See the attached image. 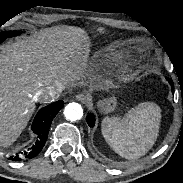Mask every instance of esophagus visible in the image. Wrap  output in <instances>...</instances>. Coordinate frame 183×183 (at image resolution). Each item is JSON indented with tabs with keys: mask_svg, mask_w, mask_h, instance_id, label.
Here are the masks:
<instances>
[{
	"mask_svg": "<svg viewBox=\"0 0 183 183\" xmlns=\"http://www.w3.org/2000/svg\"><path fill=\"white\" fill-rule=\"evenodd\" d=\"M76 100L85 102L88 100V95L87 94H79L76 96Z\"/></svg>",
	"mask_w": 183,
	"mask_h": 183,
	"instance_id": "obj_1",
	"label": "esophagus"
}]
</instances>
